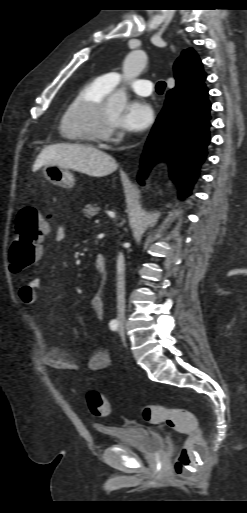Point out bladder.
<instances>
[{"label": "bladder", "mask_w": 247, "mask_h": 513, "mask_svg": "<svg viewBox=\"0 0 247 513\" xmlns=\"http://www.w3.org/2000/svg\"><path fill=\"white\" fill-rule=\"evenodd\" d=\"M99 430L112 438L113 446L134 448L148 455L164 449L162 436L151 429L136 426H104Z\"/></svg>", "instance_id": "1"}]
</instances>
